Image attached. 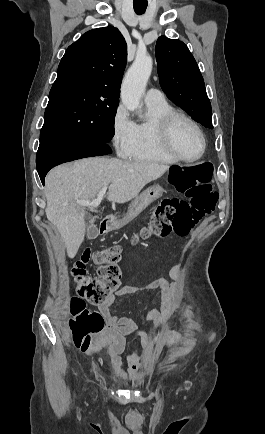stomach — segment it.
<instances>
[{
	"label": "stomach",
	"instance_id": "stomach-1",
	"mask_svg": "<svg viewBox=\"0 0 265 434\" xmlns=\"http://www.w3.org/2000/svg\"><path fill=\"white\" fill-rule=\"evenodd\" d=\"M163 192H164L163 188H161V186H157V184L156 186H150V188L144 190V192H142L140 196H137L134 202H132L128 210V214L125 218L126 222H128V220H132V218H136V216H138V214H140L142 210H145V208H147L149 204H152L154 200H158V198H161ZM112 229L114 231H120L121 225L114 224L112 226Z\"/></svg>",
	"mask_w": 265,
	"mask_h": 434
}]
</instances>
